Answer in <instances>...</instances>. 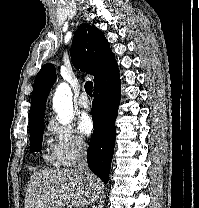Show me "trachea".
Returning a JSON list of instances; mask_svg holds the SVG:
<instances>
[{
    "mask_svg": "<svg viewBox=\"0 0 199 208\" xmlns=\"http://www.w3.org/2000/svg\"><path fill=\"white\" fill-rule=\"evenodd\" d=\"M85 91L86 93L92 97V93H93V83L91 81H87L85 83Z\"/></svg>",
    "mask_w": 199,
    "mask_h": 208,
    "instance_id": "obj_1",
    "label": "trachea"
}]
</instances>
